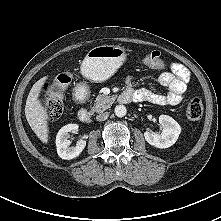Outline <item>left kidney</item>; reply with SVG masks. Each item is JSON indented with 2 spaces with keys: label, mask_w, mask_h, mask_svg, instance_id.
Wrapping results in <instances>:
<instances>
[{
  "label": "left kidney",
  "mask_w": 221,
  "mask_h": 221,
  "mask_svg": "<svg viewBox=\"0 0 221 221\" xmlns=\"http://www.w3.org/2000/svg\"><path fill=\"white\" fill-rule=\"evenodd\" d=\"M159 123L163 130L161 134L146 131L144 132L145 140L152 146L157 148H168L172 146L178 139L181 133L180 125L170 116L161 115Z\"/></svg>",
  "instance_id": "5707ae66"
}]
</instances>
